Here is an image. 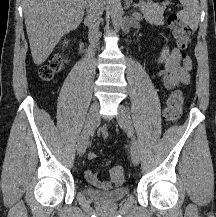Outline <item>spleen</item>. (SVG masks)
I'll list each match as a JSON object with an SVG mask.
<instances>
[{
	"mask_svg": "<svg viewBox=\"0 0 216 217\" xmlns=\"http://www.w3.org/2000/svg\"><path fill=\"white\" fill-rule=\"evenodd\" d=\"M183 10L177 13L178 18L188 25L193 31L198 28L200 7L198 0H179Z\"/></svg>",
	"mask_w": 216,
	"mask_h": 217,
	"instance_id": "spleen-1",
	"label": "spleen"
}]
</instances>
